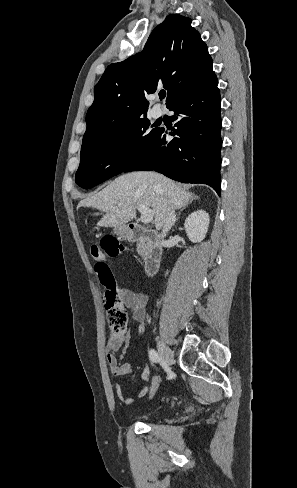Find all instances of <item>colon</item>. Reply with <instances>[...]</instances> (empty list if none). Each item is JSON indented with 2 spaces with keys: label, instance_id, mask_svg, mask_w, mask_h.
I'll use <instances>...</instances> for the list:
<instances>
[{
  "label": "colon",
  "instance_id": "1",
  "mask_svg": "<svg viewBox=\"0 0 297 488\" xmlns=\"http://www.w3.org/2000/svg\"><path fill=\"white\" fill-rule=\"evenodd\" d=\"M124 251V247L119 244L113 236L103 238L101 246H92V257L97 261L95 271L101 284L105 288L104 303L108 313V322L111 331V337L116 341L121 340L126 333V316L121 307L118 295V287L110 266L105 262V254L110 257H116ZM162 377L154 375L150 383V389L147 392L149 401L153 400L159 391Z\"/></svg>",
  "mask_w": 297,
  "mask_h": 488
}]
</instances>
